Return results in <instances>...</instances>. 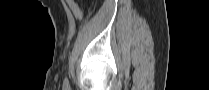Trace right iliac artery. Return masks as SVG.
Masks as SVG:
<instances>
[{"mask_svg":"<svg viewBox=\"0 0 209 90\" xmlns=\"http://www.w3.org/2000/svg\"><path fill=\"white\" fill-rule=\"evenodd\" d=\"M63 89L64 90H70L69 89V81H68L67 78L64 80Z\"/></svg>","mask_w":209,"mask_h":90,"instance_id":"right-iliac-artery-1","label":"right iliac artery"}]
</instances>
